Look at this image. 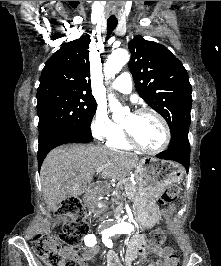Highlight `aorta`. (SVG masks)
I'll use <instances>...</instances> for the list:
<instances>
[{
	"mask_svg": "<svg viewBox=\"0 0 221 266\" xmlns=\"http://www.w3.org/2000/svg\"><path fill=\"white\" fill-rule=\"evenodd\" d=\"M130 54L125 49H117L113 51L104 64V74L107 79L114 78L122 67L128 63ZM109 106L113 112V118H119L125 113V109L115 99L113 95H109ZM109 229L115 233L130 232L134 229V225L131 223H119L109 227Z\"/></svg>",
	"mask_w": 221,
	"mask_h": 266,
	"instance_id": "762f6f07",
	"label": "aorta"
}]
</instances>
